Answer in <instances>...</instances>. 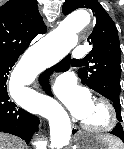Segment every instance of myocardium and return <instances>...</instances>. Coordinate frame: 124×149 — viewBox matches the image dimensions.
I'll return each instance as SVG.
<instances>
[{"label": "myocardium", "mask_w": 124, "mask_h": 149, "mask_svg": "<svg viewBox=\"0 0 124 149\" xmlns=\"http://www.w3.org/2000/svg\"><path fill=\"white\" fill-rule=\"evenodd\" d=\"M94 103L104 107L106 114H107V120L101 126H93L91 124H88L82 121L81 122L82 128L93 134H105V133L111 132L115 128L118 122V114H117V111L114 105L108 99L104 97L96 98L94 100Z\"/></svg>", "instance_id": "f54148a6"}]
</instances>
